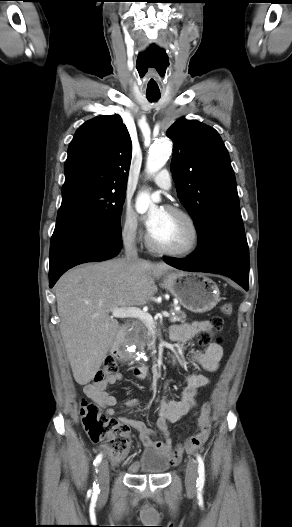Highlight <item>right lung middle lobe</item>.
<instances>
[{
  "instance_id": "right-lung-middle-lobe-1",
  "label": "right lung middle lobe",
  "mask_w": 292,
  "mask_h": 527,
  "mask_svg": "<svg viewBox=\"0 0 292 527\" xmlns=\"http://www.w3.org/2000/svg\"><path fill=\"white\" fill-rule=\"evenodd\" d=\"M125 191L83 181L64 184L57 221L89 222L121 234L120 218Z\"/></svg>"
}]
</instances>
